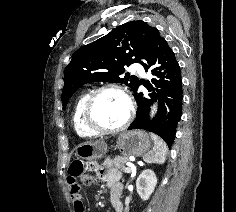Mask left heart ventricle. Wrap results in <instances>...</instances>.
<instances>
[{
  "mask_svg": "<svg viewBox=\"0 0 236 212\" xmlns=\"http://www.w3.org/2000/svg\"><path fill=\"white\" fill-rule=\"evenodd\" d=\"M127 114V102L119 92L107 90L96 98L93 119L100 127L116 128L125 121Z\"/></svg>",
  "mask_w": 236,
  "mask_h": 212,
  "instance_id": "left-heart-ventricle-1",
  "label": "left heart ventricle"
}]
</instances>
